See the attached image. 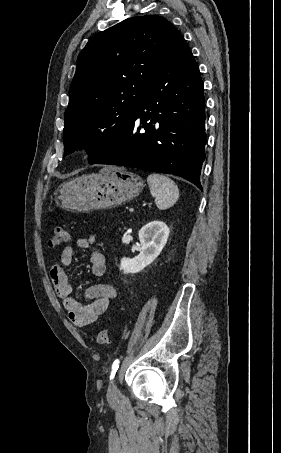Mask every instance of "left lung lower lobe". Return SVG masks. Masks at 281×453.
<instances>
[{
	"label": "left lung lower lobe",
	"instance_id": "1",
	"mask_svg": "<svg viewBox=\"0 0 281 453\" xmlns=\"http://www.w3.org/2000/svg\"><path fill=\"white\" fill-rule=\"evenodd\" d=\"M206 141L203 82L190 48L178 34L130 124L94 164L174 174L202 190Z\"/></svg>",
	"mask_w": 281,
	"mask_h": 453
}]
</instances>
